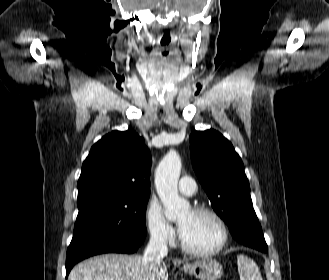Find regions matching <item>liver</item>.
I'll use <instances>...</instances> for the list:
<instances>
[{
	"label": "liver",
	"instance_id": "liver-1",
	"mask_svg": "<svg viewBox=\"0 0 329 280\" xmlns=\"http://www.w3.org/2000/svg\"><path fill=\"white\" fill-rule=\"evenodd\" d=\"M68 280H168L165 263L148 264L140 255L105 254L77 264Z\"/></svg>",
	"mask_w": 329,
	"mask_h": 280
}]
</instances>
